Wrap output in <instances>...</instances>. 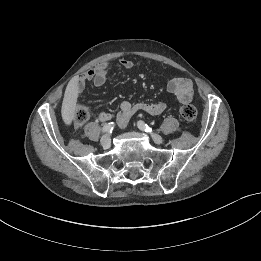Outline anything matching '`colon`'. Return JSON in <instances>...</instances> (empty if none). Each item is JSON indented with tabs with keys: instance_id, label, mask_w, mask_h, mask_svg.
Masks as SVG:
<instances>
[{
	"instance_id": "1",
	"label": "colon",
	"mask_w": 261,
	"mask_h": 261,
	"mask_svg": "<svg viewBox=\"0 0 261 261\" xmlns=\"http://www.w3.org/2000/svg\"><path fill=\"white\" fill-rule=\"evenodd\" d=\"M179 113L187 121H194L197 118V110L191 104H184L179 107ZM90 117V109L85 106L81 105L77 108L75 113V123L77 125L84 124Z\"/></svg>"
}]
</instances>
